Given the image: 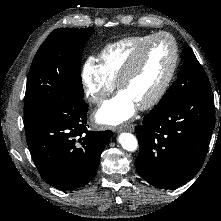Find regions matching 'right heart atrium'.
<instances>
[{
    "mask_svg": "<svg viewBox=\"0 0 221 221\" xmlns=\"http://www.w3.org/2000/svg\"><path fill=\"white\" fill-rule=\"evenodd\" d=\"M82 83L86 98L95 105L102 104L115 88L93 57L87 58L82 66Z\"/></svg>",
    "mask_w": 221,
    "mask_h": 221,
    "instance_id": "d8ad5b80",
    "label": "right heart atrium"
}]
</instances>
